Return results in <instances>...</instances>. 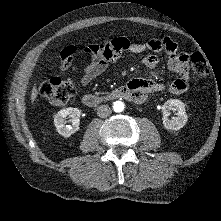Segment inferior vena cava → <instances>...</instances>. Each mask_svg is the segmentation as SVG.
Returning a JSON list of instances; mask_svg holds the SVG:
<instances>
[{
    "label": "inferior vena cava",
    "instance_id": "inferior-vena-cava-1",
    "mask_svg": "<svg viewBox=\"0 0 221 221\" xmlns=\"http://www.w3.org/2000/svg\"><path fill=\"white\" fill-rule=\"evenodd\" d=\"M112 110L108 105H100L97 108V115L101 118H106L111 114Z\"/></svg>",
    "mask_w": 221,
    "mask_h": 221
}]
</instances>
